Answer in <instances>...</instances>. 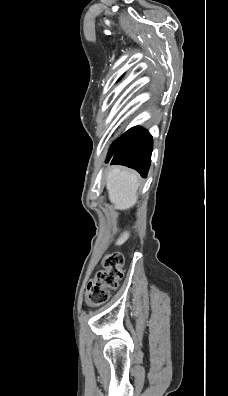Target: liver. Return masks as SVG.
<instances>
[{"label":"liver","instance_id":"obj_1","mask_svg":"<svg viewBox=\"0 0 228 396\" xmlns=\"http://www.w3.org/2000/svg\"><path fill=\"white\" fill-rule=\"evenodd\" d=\"M138 175L118 166L111 169L106 178V188L110 202L115 209L127 210L133 207L138 199L139 188ZM130 233L125 231L116 241V245H122L129 238Z\"/></svg>","mask_w":228,"mask_h":396}]
</instances>
